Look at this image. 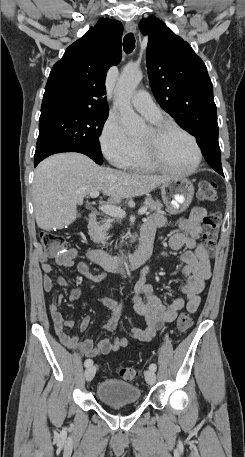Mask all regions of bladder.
Masks as SVG:
<instances>
[{
	"instance_id": "bladder-1",
	"label": "bladder",
	"mask_w": 245,
	"mask_h": 457,
	"mask_svg": "<svg viewBox=\"0 0 245 457\" xmlns=\"http://www.w3.org/2000/svg\"><path fill=\"white\" fill-rule=\"evenodd\" d=\"M96 396L106 405L136 403L141 398V391L122 380H101L96 388Z\"/></svg>"
}]
</instances>
